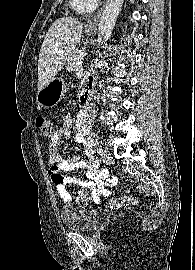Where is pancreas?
<instances>
[{"label":"pancreas","instance_id":"cf45deb5","mask_svg":"<svg viewBox=\"0 0 195 270\" xmlns=\"http://www.w3.org/2000/svg\"><path fill=\"white\" fill-rule=\"evenodd\" d=\"M84 52L83 49H77L75 51H73L70 55V57L68 58V62H67V69L70 71V70H73L76 68V65L78 63V60H77V55L79 53H82Z\"/></svg>","mask_w":195,"mask_h":270}]
</instances>
